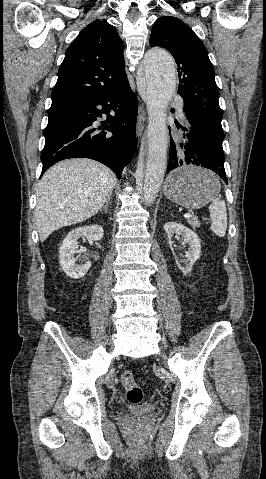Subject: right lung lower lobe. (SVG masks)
<instances>
[{
  "instance_id": "1",
  "label": "right lung lower lobe",
  "mask_w": 266,
  "mask_h": 479,
  "mask_svg": "<svg viewBox=\"0 0 266 479\" xmlns=\"http://www.w3.org/2000/svg\"><path fill=\"white\" fill-rule=\"evenodd\" d=\"M137 113L129 82L114 90L52 102L41 175L58 161L85 157L107 165L120 178L137 148ZM104 117L106 121L96 126L94 122Z\"/></svg>"
}]
</instances>
